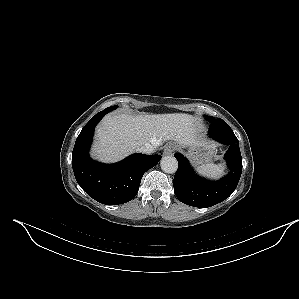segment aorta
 Segmentation results:
<instances>
[{
    "label": "aorta",
    "mask_w": 299,
    "mask_h": 299,
    "mask_svg": "<svg viewBox=\"0 0 299 299\" xmlns=\"http://www.w3.org/2000/svg\"><path fill=\"white\" fill-rule=\"evenodd\" d=\"M161 169L165 173H175L178 169V161L174 156H164L160 162Z\"/></svg>",
    "instance_id": "obj_1"
}]
</instances>
